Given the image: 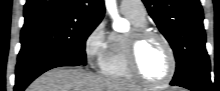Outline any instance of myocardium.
Masks as SVG:
<instances>
[{"mask_svg":"<svg viewBox=\"0 0 220 91\" xmlns=\"http://www.w3.org/2000/svg\"><path fill=\"white\" fill-rule=\"evenodd\" d=\"M157 38L165 46L170 58V70L167 76L160 81H151L143 76L139 68L138 53L140 46L148 39ZM127 65L133 78L147 87H161L167 85L174 77L177 69V58L169 40L160 32L148 28H134L126 37Z\"/></svg>","mask_w":220,"mask_h":91,"instance_id":"myocardium-1","label":"myocardium"}]
</instances>
